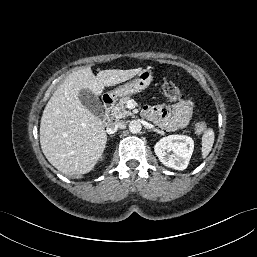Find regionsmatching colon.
I'll use <instances>...</instances> for the list:
<instances>
[{
	"instance_id": "obj_1",
	"label": "colon",
	"mask_w": 257,
	"mask_h": 257,
	"mask_svg": "<svg viewBox=\"0 0 257 257\" xmlns=\"http://www.w3.org/2000/svg\"><path fill=\"white\" fill-rule=\"evenodd\" d=\"M162 93L164 97L171 101H177L181 98V91L179 87L170 80H164L162 84ZM197 132H203L206 129V124L199 121L195 124Z\"/></svg>"
}]
</instances>
